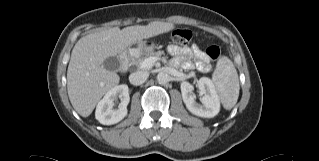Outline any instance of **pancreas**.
Returning a JSON list of instances; mask_svg holds the SVG:
<instances>
[{
	"mask_svg": "<svg viewBox=\"0 0 319 161\" xmlns=\"http://www.w3.org/2000/svg\"><path fill=\"white\" fill-rule=\"evenodd\" d=\"M164 53L161 52V51H158V52H146V53H143L141 52L140 55L136 58H132V61H131V64L132 65H135L137 67H140L141 66V63L149 58V57H156V58H159L161 55H163Z\"/></svg>",
	"mask_w": 319,
	"mask_h": 161,
	"instance_id": "1",
	"label": "pancreas"
}]
</instances>
